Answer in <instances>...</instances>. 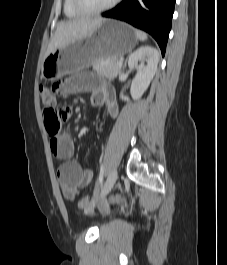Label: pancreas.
<instances>
[{
  "instance_id": "pancreas-1",
  "label": "pancreas",
  "mask_w": 227,
  "mask_h": 265,
  "mask_svg": "<svg viewBox=\"0 0 227 265\" xmlns=\"http://www.w3.org/2000/svg\"><path fill=\"white\" fill-rule=\"evenodd\" d=\"M118 59H102L93 64V70L99 75H103L109 79H114L120 72V67L117 65Z\"/></svg>"
}]
</instances>
